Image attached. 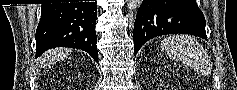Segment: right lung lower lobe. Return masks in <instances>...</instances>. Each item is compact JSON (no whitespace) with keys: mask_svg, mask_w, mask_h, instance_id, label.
<instances>
[{"mask_svg":"<svg viewBox=\"0 0 237 90\" xmlns=\"http://www.w3.org/2000/svg\"><path fill=\"white\" fill-rule=\"evenodd\" d=\"M96 19V2L42 4L35 34L36 58L50 48L72 47L98 62Z\"/></svg>","mask_w":237,"mask_h":90,"instance_id":"1","label":"right lung lower lobe"}]
</instances>
